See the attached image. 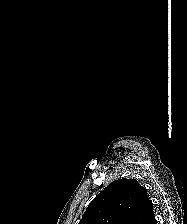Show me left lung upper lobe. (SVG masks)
Listing matches in <instances>:
<instances>
[{"label":"left lung upper lobe","mask_w":187,"mask_h":224,"mask_svg":"<svg viewBox=\"0 0 187 224\" xmlns=\"http://www.w3.org/2000/svg\"><path fill=\"white\" fill-rule=\"evenodd\" d=\"M153 204L135 179H118L88 205L78 224H154Z\"/></svg>","instance_id":"left-lung-upper-lobe-1"}]
</instances>
